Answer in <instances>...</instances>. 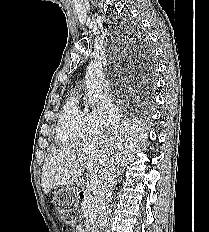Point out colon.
<instances>
[{"label":"colon","instance_id":"colon-1","mask_svg":"<svg viewBox=\"0 0 209 232\" xmlns=\"http://www.w3.org/2000/svg\"><path fill=\"white\" fill-rule=\"evenodd\" d=\"M62 216L67 222L71 221V217L69 216V214H62Z\"/></svg>","mask_w":209,"mask_h":232}]
</instances>
